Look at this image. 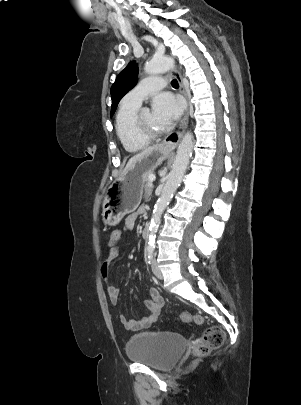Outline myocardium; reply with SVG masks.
Masks as SVG:
<instances>
[{"mask_svg":"<svg viewBox=\"0 0 301 405\" xmlns=\"http://www.w3.org/2000/svg\"><path fill=\"white\" fill-rule=\"evenodd\" d=\"M143 110H138L133 119V130L135 134L143 139L146 140H154L157 139L164 134H166L167 129L164 128L162 130H151L146 128L143 122Z\"/></svg>","mask_w":301,"mask_h":405,"instance_id":"obj_1","label":"myocardium"}]
</instances>
